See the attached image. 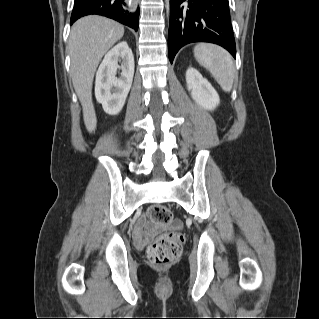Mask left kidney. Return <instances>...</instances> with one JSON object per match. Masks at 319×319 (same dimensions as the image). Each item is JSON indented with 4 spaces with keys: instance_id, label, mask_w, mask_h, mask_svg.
Masks as SVG:
<instances>
[{
    "instance_id": "left-kidney-1",
    "label": "left kidney",
    "mask_w": 319,
    "mask_h": 319,
    "mask_svg": "<svg viewBox=\"0 0 319 319\" xmlns=\"http://www.w3.org/2000/svg\"><path fill=\"white\" fill-rule=\"evenodd\" d=\"M187 88L193 100L206 110H214L220 102L219 95L207 79L203 78L195 68L186 71Z\"/></svg>"
}]
</instances>
